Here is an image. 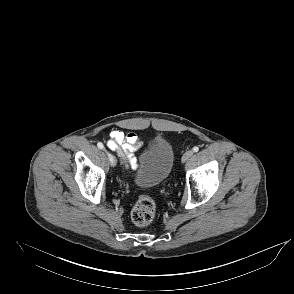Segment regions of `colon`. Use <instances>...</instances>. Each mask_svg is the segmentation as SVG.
I'll return each mask as SVG.
<instances>
[{
  "label": "colon",
  "instance_id": "colon-1",
  "mask_svg": "<svg viewBox=\"0 0 294 294\" xmlns=\"http://www.w3.org/2000/svg\"><path fill=\"white\" fill-rule=\"evenodd\" d=\"M155 210L153 199L148 195H141L132 209V221L139 227L147 226L153 221Z\"/></svg>",
  "mask_w": 294,
  "mask_h": 294
}]
</instances>
